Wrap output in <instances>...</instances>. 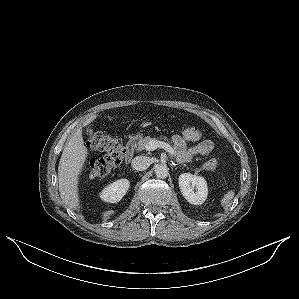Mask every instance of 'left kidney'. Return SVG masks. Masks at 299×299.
I'll list each match as a JSON object with an SVG mask.
<instances>
[{
	"mask_svg": "<svg viewBox=\"0 0 299 299\" xmlns=\"http://www.w3.org/2000/svg\"><path fill=\"white\" fill-rule=\"evenodd\" d=\"M179 187L184 198L193 205L202 204L207 198V182L201 176L183 173L179 176Z\"/></svg>",
	"mask_w": 299,
	"mask_h": 299,
	"instance_id": "5707ae66",
	"label": "left kidney"
}]
</instances>
